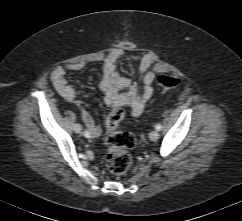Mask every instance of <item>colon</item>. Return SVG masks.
I'll return each mask as SVG.
<instances>
[{
  "instance_id": "obj_1",
  "label": "colon",
  "mask_w": 242,
  "mask_h": 221,
  "mask_svg": "<svg viewBox=\"0 0 242 221\" xmlns=\"http://www.w3.org/2000/svg\"><path fill=\"white\" fill-rule=\"evenodd\" d=\"M158 83L167 90L177 88L181 80L178 77L161 75L158 78ZM125 115L124 108L117 106L112 109L105 123L108 147L106 164L109 171L115 175H123L128 171L132 164L130 150L136 144L135 136L120 127Z\"/></svg>"
}]
</instances>
